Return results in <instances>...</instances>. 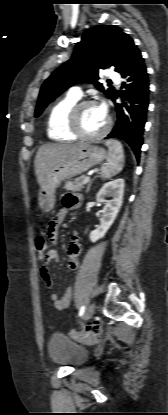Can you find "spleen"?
Masks as SVG:
<instances>
[{"instance_id": "spleen-1", "label": "spleen", "mask_w": 168, "mask_h": 415, "mask_svg": "<svg viewBox=\"0 0 168 415\" xmlns=\"http://www.w3.org/2000/svg\"><path fill=\"white\" fill-rule=\"evenodd\" d=\"M108 147L107 164L101 169L102 179H109L118 174L124 166V150L122 144L117 140H107Z\"/></svg>"}]
</instances>
